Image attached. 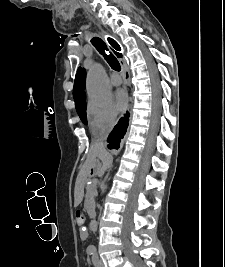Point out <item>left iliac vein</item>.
I'll list each match as a JSON object with an SVG mask.
<instances>
[{"label": "left iliac vein", "mask_w": 225, "mask_h": 267, "mask_svg": "<svg viewBox=\"0 0 225 267\" xmlns=\"http://www.w3.org/2000/svg\"><path fill=\"white\" fill-rule=\"evenodd\" d=\"M98 267H104V263L101 259L98 260Z\"/></svg>", "instance_id": "1"}]
</instances>
